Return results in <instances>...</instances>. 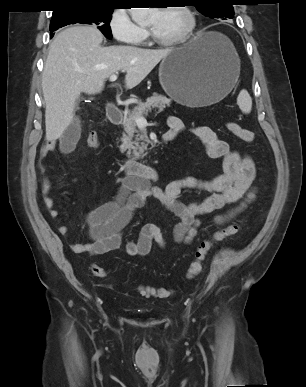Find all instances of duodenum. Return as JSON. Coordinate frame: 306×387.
<instances>
[{"mask_svg":"<svg viewBox=\"0 0 306 387\" xmlns=\"http://www.w3.org/2000/svg\"><path fill=\"white\" fill-rule=\"evenodd\" d=\"M107 117L111 123L117 125L122 122L123 114L118 107L110 104L107 107ZM173 138L172 135H164V139L167 141L172 140ZM125 170L131 177L137 179L155 180L158 177V172L152 165L134 160L125 162Z\"/></svg>","mask_w":306,"mask_h":387,"instance_id":"1","label":"duodenum"}]
</instances>
